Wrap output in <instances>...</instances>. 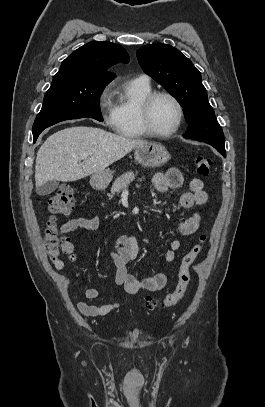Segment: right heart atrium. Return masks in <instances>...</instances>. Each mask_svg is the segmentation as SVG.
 <instances>
[{"label": "right heart atrium", "mask_w": 265, "mask_h": 407, "mask_svg": "<svg viewBox=\"0 0 265 407\" xmlns=\"http://www.w3.org/2000/svg\"><path fill=\"white\" fill-rule=\"evenodd\" d=\"M97 103L104 122L113 127L114 105L112 102L111 87H104L98 94Z\"/></svg>", "instance_id": "1"}]
</instances>
